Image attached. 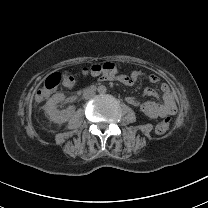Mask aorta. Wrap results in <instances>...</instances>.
<instances>
[{
	"label": "aorta",
	"mask_w": 208,
	"mask_h": 208,
	"mask_svg": "<svg viewBox=\"0 0 208 208\" xmlns=\"http://www.w3.org/2000/svg\"><path fill=\"white\" fill-rule=\"evenodd\" d=\"M97 92H98L99 95L105 96V95L108 94L109 89H108L107 86L101 85V86L98 87Z\"/></svg>",
	"instance_id": "obj_1"
}]
</instances>
